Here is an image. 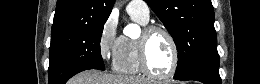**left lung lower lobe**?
Instances as JSON below:
<instances>
[{"mask_svg":"<svg viewBox=\"0 0 260 84\" xmlns=\"http://www.w3.org/2000/svg\"><path fill=\"white\" fill-rule=\"evenodd\" d=\"M176 80H196L204 84H221L219 75V63H209L200 65L184 76L174 78Z\"/></svg>","mask_w":260,"mask_h":84,"instance_id":"1","label":"left lung lower lobe"}]
</instances>
